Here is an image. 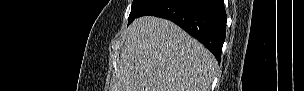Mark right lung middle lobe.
Here are the masks:
<instances>
[{"label":"right lung middle lobe","instance_id":"right-lung-middle-lobe-1","mask_svg":"<svg viewBox=\"0 0 304 91\" xmlns=\"http://www.w3.org/2000/svg\"><path fill=\"white\" fill-rule=\"evenodd\" d=\"M150 0H133L131 12L128 18V25L139 16L141 10Z\"/></svg>","mask_w":304,"mask_h":91}]
</instances>
